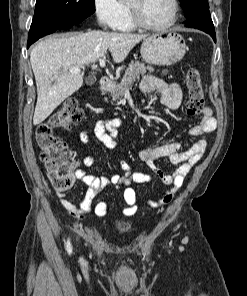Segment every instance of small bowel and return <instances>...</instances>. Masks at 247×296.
Instances as JSON below:
<instances>
[{"label":"small bowel","instance_id":"c3829d8e","mask_svg":"<svg viewBox=\"0 0 247 296\" xmlns=\"http://www.w3.org/2000/svg\"><path fill=\"white\" fill-rule=\"evenodd\" d=\"M143 93L156 91L162 102L171 109H176L182 102V91L176 83H167L153 76H146L140 84ZM125 122L120 118H108L95 123L93 134L95 138L106 148L115 149L118 146L117 130ZM217 123L213 117V111L210 107H204L201 112L200 121L192 126L190 134L200 139L188 150L181 151V144L178 142L164 143L143 148L139 151V159L145 163L159 178L162 184L169 187L161 198L157 200L147 199L146 208H158L170 203L177 191L183 184L184 178L190 169L201 159L208 147V140L204 137L206 134L216 129ZM81 140L85 143L90 142L89 132L84 130L80 134ZM167 157L178 168L172 175H164L156 167L157 159ZM96 160L92 156H85L82 164L85 167L95 165ZM122 174H113L111 176H95L88 174L84 169L79 168L75 172L76 178L87 186V191L79 205H75L68 200L63 191L57 192V197L67 211L69 216L76 221H80L88 215L94 214L103 218L108 213V206L104 201L93 205V201L106 186H123V197L126 207L123 209V215L133 216L138 211L137 193L132 184H144L153 180L149 174L133 172L125 159H119Z\"/></svg>","mask_w":247,"mask_h":296}]
</instances>
